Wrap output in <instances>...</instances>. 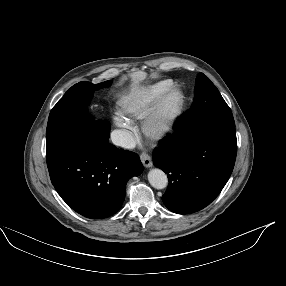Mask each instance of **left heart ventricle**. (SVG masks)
Segmentation results:
<instances>
[{"label": "left heart ventricle", "instance_id": "1", "mask_svg": "<svg viewBox=\"0 0 286 286\" xmlns=\"http://www.w3.org/2000/svg\"><path fill=\"white\" fill-rule=\"evenodd\" d=\"M176 102H177V95L175 94V95L171 96L168 99V101L166 102V104L164 105V108H163L162 113H161V117L168 115L173 110V108L175 107Z\"/></svg>", "mask_w": 286, "mask_h": 286}]
</instances>
